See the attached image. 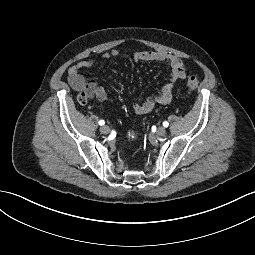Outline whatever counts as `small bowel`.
<instances>
[{
    "label": "small bowel",
    "mask_w": 255,
    "mask_h": 255,
    "mask_svg": "<svg viewBox=\"0 0 255 255\" xmlns=\"http://www.w3.org/2000/svg\"><path fill=\"white\" fill-rule=\"evenodd\" d=\"M119 56V51L113 49L110 52L103 54L102 59L108 60ZM133 59L136 62H160L165 63L170 70L169 80L162 85L159 92L150 96L148 99L137 102L133 105L134 112L136 114H146L150 112L157 104L167 105L172 100V94L175 86L183 81L187 75V68L182 59L178 56L169 54L162 51H144L137 52L133 55ZM98 59H85L72 65L68 69V83L76 90L81 91L86 89L91 97H95L97 100L103 102L107 98L106 91L103 87L98 86L96 82H88L81 74V71L93 66Z\"/></svg>",
    "instance_id": "1"
}]
</instances>
